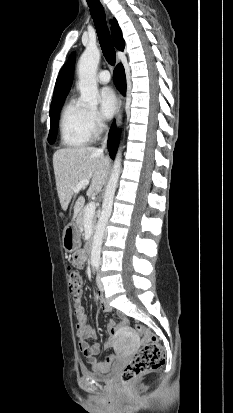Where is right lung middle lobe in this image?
<instances>
[{
	"label": "right lung middle lobe",
	"mask_w": 233,
	"mask_h": 413,
	"mask_svg": "<svg viewBox=\"0 0 233 413\" xmlns=\"http://www.w3.org/2000/svg\"><path fill=\"white\" fill-rule=\"evenodd\" d=\"M64 103V100L56 103L51 104L50 107V131L48 136V142L50 144L55 142L57 129H58V119H59V112Z\"/></svg>",
	"instance_id": "right-lung-middle-lobe-1"
}]
</instances>
